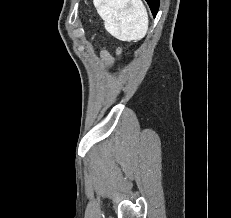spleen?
Segmentation results:
<instances>
[{"instance_id":"spleen-1","label":"spleen","mask_w":231,"mask_h":218,"mask_svg":"<svg viewBox=\"0 0 231 218\" xmlns=\"http://www.w3.org/2000/svg\"><path fill=\"white\" fill-rule=\"evenodd\" d=\"M105 29L121 41L139 40L148 30V14L141 0H93Z\"/></svg>"}]
</instances>
